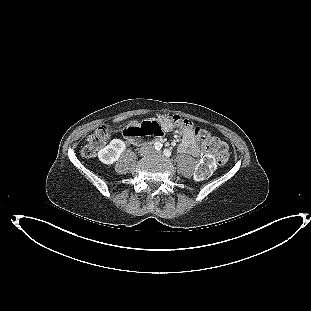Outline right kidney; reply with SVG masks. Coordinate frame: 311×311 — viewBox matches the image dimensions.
Here are the masks:
<instances>
[{"label": "right kidney", "mask_w": 311, "mask_h": 311, "mask_svg": "<svg viewBox=\"0 0 311 311\" xmlns=\"http://www.w3.org/2000/svg\"><path fill=\"white\" fill-rule=\"evenodd\" d=\"M125 149L126 145L123 140L113 139L109 145L98 152V158L102 163L106 165H112L119 159L120 155L125 151Z\"/></svg>", "instance_id": "ca27d5eb"}]
</instances>
